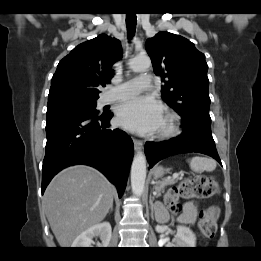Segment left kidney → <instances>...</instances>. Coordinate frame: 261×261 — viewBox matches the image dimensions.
<instances>
[{
  "instance_id": "1",
  "label": "left kidney",
  "mask_w": 261,
  "mask_h": 261,
  "mask_svg": "<svg viewBox=\"0 0 261 261\" xmlns=\"http://www.w3.org/2000/svg\"><path fill=\"white\" fill-rule=\"evenodd\" d=\"M196 245V237L192 230L186 226H177V233L172 241V246L178 248H193Z\"/></svg>"
}]
</instances>
